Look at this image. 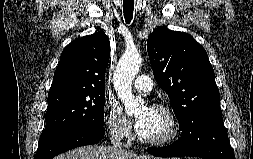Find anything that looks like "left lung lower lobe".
I'll return each instance as SVG.
<instances>
[{
	"instance_id": "obj_1",
	"label": "left lung lower lobe",
	"mask_w": 253,
	"mask_h": 159,
	"mask_svg": "<svg viewBox=\"0 0 253 159\" xmlns=\"http://www.w3.org/2000/svg\"><path fill=\"white\" fill-rule=\"evenodd\" d=\"M147 151L160 157L194 156L204 159H235L222 117L193 127L169 146L148 148Z\"/></svg>"
}]
</instances>
